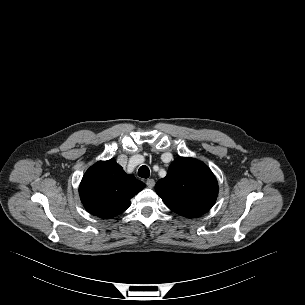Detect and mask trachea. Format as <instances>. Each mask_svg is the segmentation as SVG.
I'll return each instance as SVG.
<instances>
[{
  "label": "trachea",
  "mask_w": 305,
  "mask_h": 305,
  "mask_svg": "<svg viewBox=\"0 0 305 305\" xmlns=\"http://www.w3.org/2000/svg\"><path fill=\"white\" fill-rule=\"evenodd\" d=\"M138 176L141 178H148L150 176V170L147 166L143 165L138 170Z\"/></svg>",
  "instance_id": "trachea-1"
}]
</instances>
